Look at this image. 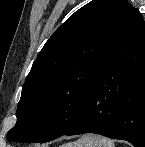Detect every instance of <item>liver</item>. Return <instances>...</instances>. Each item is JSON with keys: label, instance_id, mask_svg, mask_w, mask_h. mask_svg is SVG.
I'll return each instance as SVG.
<instances>
[{"label": "liver", "instance_id": "obj_1", "mask_svg": "<svg viewBox=\"0 0 145 147\" xmlns=\"http://www.w3.org/2000/svg\"><path fill=\"white\" fill-rule=\"evenodd\" d=\"M66 145H68V144H66ZM66 145H63V147H68V146H66Z\"/></svg>", "mask_w": 145, "mask_h": 147}]
</instances>
